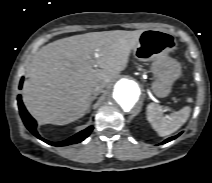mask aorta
I'll list each match as a JSON object with an SVG mask.
<instances>
[{"label": "aorta", "instance_id": "1", "mask_svg": "<svg viewBox=\"0 0 212 183\" xmlns=\"http://www.w3.org/2000/svg\"><path fill=\"white\" fill-rule=\"evenodd\" d=\"M140 95L139 85L131 79L123 78L115 83L111 98L117 108L130 112L138 104Z\"/></svg>", "mask_w": 212, "mask_h": 183}]
</instances>
